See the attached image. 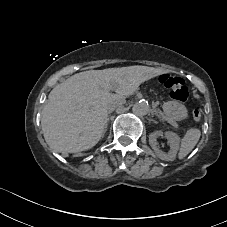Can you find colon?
Returning <instances> with one entry per match:
<instances>
[{"mask_svg":"<svg viewBox=\"0 0 227 227\" xmlns=\"http://www.w3.org/2000/svg\"><path fill=\"white\" fill-rule=\"evenodd\" d=\"M159 80L170 91L171 97L176 101L185 102L188 99L189 91L182 78L170 74H163ZM201 117L202 112L200 109L195 108L192 110V118L194 120L198 121Z\"/></svg>","mask_w":227,"mask_h":227,"instance_id":"colon-1","label":"colon"}]
</instances>
